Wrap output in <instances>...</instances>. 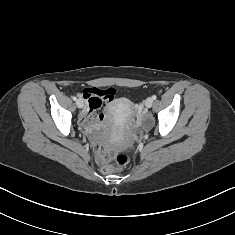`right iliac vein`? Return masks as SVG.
Wrapping results in <instances>:
<instances>
[{"label":"right iliac vein","instance_id":"obj_1","mask_svg":"<svg viewBox=\"0 0 235 235\" xmlns=\"http://www.w3.org/2000/svg\"><path fill=\"white\" fill-rule=\"evenodd\" d=\"M76 104H77V107H78V108H82V107L84 106V102H83L82 99H78L77 102H76Z\"/></svg>","mask_w":235,"mask_h":235}]
</instances>
